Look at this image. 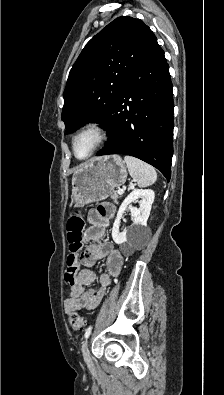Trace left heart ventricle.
<instances>
[{
  "instance_id": "obj_1",
  "label": "left heart ventricle",
  "mask_w": 224,
  "mask_h": 395,
  "mask_svg": "<svg viewBox=\"0 0 224 395\" xmlns=\"http://www.w3.org/2000/svg\"><path fill=\"white\" fill-rule=\"evenodd\" d=\"M94 142H95V137L91 133H87L80 136L75 143L76 156L79 158L86 157L92 150Z\"/></svg>"
}]
</instances>
